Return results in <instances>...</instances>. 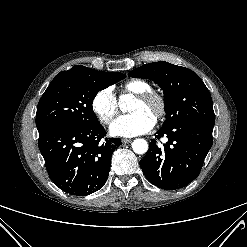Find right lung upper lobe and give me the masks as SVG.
Segmentation results:
<instances>
[{
	"mask_svg": "<svg viewBox=\"0 0 247 247\" xmlns=\"http://www.w3.org/2000/svg\"><path fill=\"white\" fill-rule=\"evenodd\" d=\"M72 69H78V70H82L91 74H96V75H106V74H113V73H117V72H100V71H96L90 68H87L85 66L82 65H76L73 66Z\"/></svg>",
	"mask_w": 247,
	"mask_h": 247,
	"instance_id": "1",
	"label": "right lung upper lobe"
}]
</instances>
